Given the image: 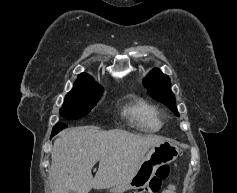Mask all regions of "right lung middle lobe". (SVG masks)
<instances>
[{
  "label": "right lung middle lobe",
  "mask_w": 237,
  "mask_h": 193,
  "mask_svg": "<svg viewBox=\"0 0 237 193\" xmlns=\"http://www.w3.org/2000/svg\"><path fill=\"white\" fill-rule=\"evenodd\" d=\"M103 89L83 90L73 88L65 97L60 108V115L64 119H78L87 115L96 106L102 96Z\"/></svg>",
  "instance_id": "obj_1"
}]
</instances>
